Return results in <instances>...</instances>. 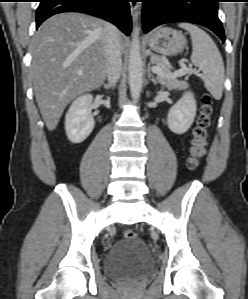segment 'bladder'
<instances>
[{
	"mask_svg": "<svg viewBox=\"0 0 248 299\" xmlns=\"http://www.w3.org/2000/svg\"><path fill=\"white\" fill-rule=\"evenodd\" d=\"M154 268V262L144 241L125 239L115 243L107 252L103 269L113 280H141Z\"/></svg>",
	"mask_w": 248,
	"mask_h": 299,
	"instance_id": "bladder-1",
	"label": "bladder"
}]
</instances>
